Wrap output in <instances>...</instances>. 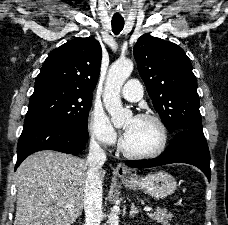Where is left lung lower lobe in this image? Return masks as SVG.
<instances>
[{
    "label": "left lung lower lobe",
    "instance_id": "0a47b994",
    "mask_svg": "<svg viewBox=\"0 0 228 225\" xmlns=\"http://www.w3.org/2000/svg\"><path fill=\"white\" fill-rule=\"evenodd\" d=\"M164 153L150 160H130L132 168H148L171 163H187L198 167L210 181V153L203 130H180Z\"/></svg>",
    "mask_w": 228,
    "mask_h": 225
}]
</instances>
